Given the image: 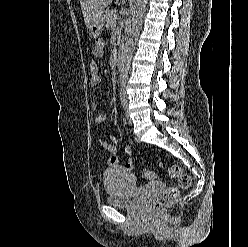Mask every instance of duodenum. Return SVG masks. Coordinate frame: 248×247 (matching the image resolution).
<instances>
[{
    "label": "duodenum",
    "instance_id": "duodenum-1",
    "mask_svg": "<svg viewBox=\"0 0 248 247\" xmlns=\"http://www.w3.org/2000/svg\"><path fill=\"white\" fill-rule=\"evenodd\" d=\"M125 58V52L123 50H120L116 55V65L118 68H121Z\"/></svg>",
    "mask_w": 248,
    "mask_h": 247
}]
</instances>
